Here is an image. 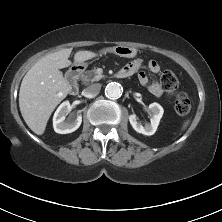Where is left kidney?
<instances>
[{"mask_svg":"<svg viewBox=\"0 0 222 222\" xmlns=\"http://www.w3.org/2000/svg\"><path fill=\"white\" fill-rule=\"evenodd\" d=\"M149 112L151 114V123L146 124L145 126L138 123L137 116L135 114H131L129 116V122L133 129L136 132L147 136L153 135L156 132L160 119L163 116L164 110L160 104L154 102L149 105Z\"/></svg>","mask_w":222,"mask_h":222,"instance_id":"5707ae66","label":"left kidney"}]
</instances>
